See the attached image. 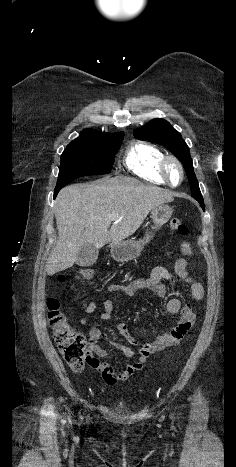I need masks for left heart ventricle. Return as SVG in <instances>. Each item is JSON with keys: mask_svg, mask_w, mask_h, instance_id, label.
I'll list each match as a JSON object with an SVG mask.
<instances>
[{"mask_svg": "<svg viewBox=\"0 0 236 467\" xmlns=\"http://www.w3.org/2000/svg\"><path fill=\"white\" fill-rule=\"evenodd\" d=\"M168 171H169V178L171 182L178 183L180 180V172H179L178 167L175 164L171 163L169 164Z\"/></svg>", "mask_w": 236, "mask_h": 467, "instance_id": "left-heart-ventricle-1", "label": "left heart ventricle"}]
</instances>
